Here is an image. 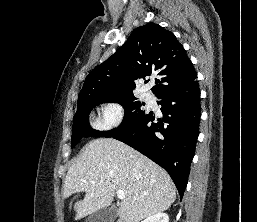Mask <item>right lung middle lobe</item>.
Here are the masks:
<instances>
[{
	"mask_svg": "<svg viewBox=\"0 0 257 222\" xmlns=\"http://www.w3.org/2000/svg\"><path fill=\"white\" fill-rule=\"evenodd\" d=\"M107 102L119 103L124 107L125 115L122 123L115 129L110 131H96L90 127L88 116L93 107ZM145 103H141L134 95L124 96H95L90 97L77 104V112L73 120V132L71 139V147L82 139V137H112L132 126L146 111L142 109Z\"/></svg>",
	"mask_w": 257,
	"mask_h": 222,
	"instance_id": "obj_1",
	"label": "right lung middle lobe"
}]
</instances>
